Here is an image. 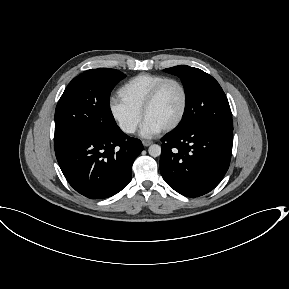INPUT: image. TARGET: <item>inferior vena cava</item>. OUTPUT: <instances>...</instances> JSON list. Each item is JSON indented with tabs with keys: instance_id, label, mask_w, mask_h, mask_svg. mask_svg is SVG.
I'll use <instances>...</instances> for the list:
<instances>
[{
	"instance_id": "inferior-vena-cava-1",
	"label": "inferior vena cava",
	"mask_w": 289,
	"mask_h": 289,
	"mask_svg": "<svg viewBox=\"0 0 289 289\" xmlns=\"http://www.w3.org/2000/svg\"><path fill=\"white\" fill-rule=\"evenodd\" d=\"M122 129H123L124 132H127V133H134L135 130H136V126L133 125V124L125 125Z\"/></svg>"
}]
</instances>
